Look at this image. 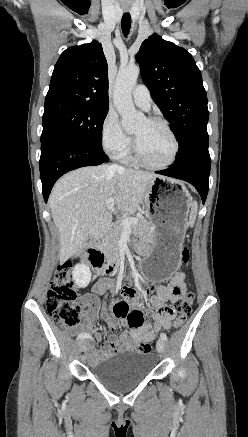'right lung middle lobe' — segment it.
I'll return each instance as SVG.
<instances>
[{"mask_svg": "<svg viewBox=\"0 0 248 437\" xmlns=\"http://www.w3.org/2000/svg\"><path fill=\"white\" fill-rule=\"evenodd\" d=\"M108 108L72 100L45 101L41 141L53 136L71 137L102 148V127Z\"/></svg>", "mask_w": 248, "mask_h": 437, "instance_id": "dd1d6c3e", "label": "right lung middle lobe"}]
</instances>
